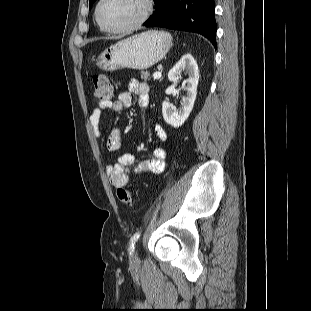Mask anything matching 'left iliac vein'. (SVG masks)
<instances>
[{"label":"left iliac vein","instance_id":"1","mask_svg":"<svg viewBox=\"0 0 311 311\" xmlns=\"http://www.w3.org/2000/svg\"><path fill=\"white\" fill-rule=\"evenodd\" d=\"M131 260H132L134 263H137V262L139 261L136 251H135L134 253H132V255H131Z\"/></svg>","mask_w":311,"mask_h":311}]
</instances>
